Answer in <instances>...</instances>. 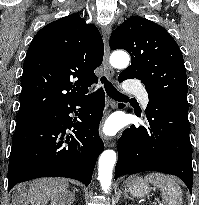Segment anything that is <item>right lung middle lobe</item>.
<instances>
[{
  "mask_svg": "<svg viewBox=\"0 0 199 205\" xmlns=\"http://www.w3.org/2000/svg\"><path fill=\"white\" fill-rule=\"evenodd\" d=\"M46 116L44 115H38V116H32V117H24V118H16L17 119V124L15 128V132L21 131L30 125L36 123L37 121L43 119Z\"/></svg>",
  "mask_w": 199,
  "mask_h": 205,
  "instance_id": "dd1d6c3e",
  "label": "right lung middle lobe"
}]
</instances>
